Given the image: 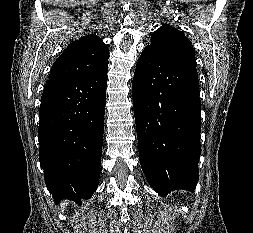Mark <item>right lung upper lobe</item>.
Here are the masks:
<instances>
[{
  "label": "right lung upper lobe",
  "mask_w": 253,
  "mask_h": 233,
  "mask_svg": "<svg viewBox=\"0 0 253 233\" xmlns=\"http://www.w3.org/2000/svg\"><path fill=\"white\" fill-rule=\"evenodd\" d=\"M109 52L96 35H87L70 43L55 61L49 78L70 77L100 72L108 67Z\"/></svg>",
  "instance_id": "obj_1"
}]
</instances>
